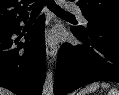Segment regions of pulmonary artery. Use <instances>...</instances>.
I'll return each mask as SVG.
<instances>
[{
	"mask_svg": "<svg viewBox=\"0 0 119 95\" xmlns=\"http://www.w3.org/2000/svg\"><path fill=\"white\" fill-rule=\"evenodd\" d=\"M68 9H69L70 11L75 12L76 14H78L79 17H80V19H81V21H82L84 24L87 23V20H86L85 17L82 15V13H81V11H80V9H79L78 7H75V6H73V5H69V6H68Z\"/></svg>",
	"mask_w": 119,
	"mask_h": 95,
	"instance_id": "1",
	"label": "pulmonary artery"
}]
</instances>
